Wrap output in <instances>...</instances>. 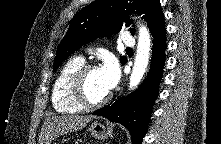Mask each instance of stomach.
I'll use <instances>...</instances> for the list:
<instances>
[{"label":"stomach","mask_w":221,"mask_h":144,"mask_svg":"<svg viewBox=\"0 0 221 144\" xmlns=\"http://www.w3.org/2000/svg\"><path fill=\"white\" fill-rule=\"evenodd\" d=\"M91 135L99 140L107 139L111 134V127L107 124L104 125L100 122H93L89 127Z\"/></svg>","instance_id":"stomach-1"}]
</instances>
